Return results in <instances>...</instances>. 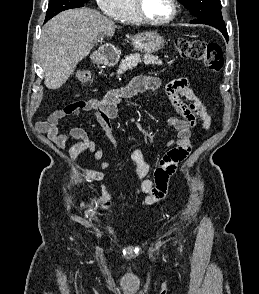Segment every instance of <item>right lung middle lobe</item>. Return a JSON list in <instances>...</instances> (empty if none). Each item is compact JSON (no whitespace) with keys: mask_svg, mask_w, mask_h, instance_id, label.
Returning <instances> with one entry per match:
<instances>
[{"mask_svg":"<svg viewBox=\"0 0 259 294\" xmlns=\"http://www.w3.org/2000/svg\"><path fill=\"white\" fill-rule=\"evenodd\" d=\"M88 1L89 0H50L45 22L64 10L83 7L84 3Z\"/></svg>","mask_w":259,"mask_h":294,"instance_id":"obj_1","label":"right lung middle lobe"}]
</instances>
